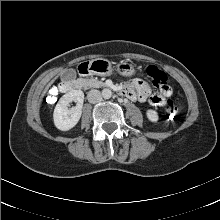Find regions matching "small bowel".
<instances>
[{
  "instance_id": "obj_1",
  "label": "small bowel",
  "mask_w": 220,
  "mask_h": 220,
  "mask_svg": "<svg viewBox=\"0 0 220 220\" xmlns=\"http://www.w3.org/2000/svg\"><path fill=\"white\" fill-rule=\"evenodd\" d=\"M123 89L127 91V98H129L130 100H137L139 102H149L157 106H159V104L155 102V97L166 99L170 97L172 94V89L168 84L164 89L159 90L158 93L152 94L146 82L142 79H135L133 82H131Z\"/></svg>"
}]
</instances>
